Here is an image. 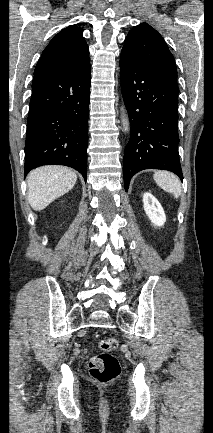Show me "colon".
<instances>
[{
  "label": "colon",
  "mask_w": 213,
  "mask_h": 433,
  "mask_svg": "<svg viewBox=\"0 0 213 433\" xmlns=\"http://www.w3.org/2000/svg\"><path fill=\"white\" fill-rule=\"evenodd\" d=\"M98 347L102 353L91 357L89 374L100 383H109L121 374V365L118 359L111 354V351L118 348V341L115 338L101 339L98 342Z\"/></svg>",
  "instance_id": "obj_1"
}]
</instances>
